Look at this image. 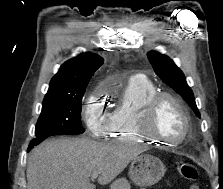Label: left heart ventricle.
<instances>
[{
    "label": "left heart ventricle",
    "mask_w": 223,
    "mask_h": 189,
    "mask_svg": "<svg viewBox=\"0 0 223 189\" xmlns=\"http://www.w3.org/2000/svg\"><path fill=\"white\" fill-rule=\"evenodd\" d=\"M184 125L180 110L170 100L161 101L154 115L153 132L169 141H175L183 135Z\"/></svg>",
    "instance_id": "obj_1"
}]
</instances>
